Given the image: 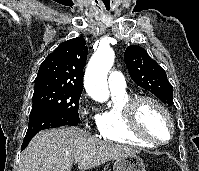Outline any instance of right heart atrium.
Masks as SVG:
<instances>
[{
	"mask_svg": "<svg viewBox=\"0 0 199 171\" xmlns=\"http://www.w3.org/2000/svg\"><path fill=\"white\" fill-rule=\"evenodd\" d=\"M78 111L89 126H98L99 115L92 110L89 99L85 94L82 95L78 101Z\"/></svg>",
	"mask_w": 199,
	"mask_h": 171,
	"instance_id": "1",
	"label": "right heart atrium"
}]
</instances>
